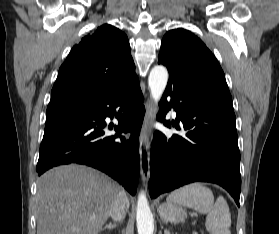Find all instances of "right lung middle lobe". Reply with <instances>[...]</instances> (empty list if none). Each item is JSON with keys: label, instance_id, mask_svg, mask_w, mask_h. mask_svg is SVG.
Returning <instances> with one entry per match:
<instances>
[{"label": "right lung middle lobe", "instance_id": "right-lung-middle-lobe-1", "mask_svg": "<svg viewBox=\"0 0 279 234\" xmlns=\"http://www.w3.org/2000/svg\"><path fill=\"white\" fill-rule=\"evenodd\" d=\"M75 108H77V107H51V108H47V116L62 113V112L69 111V110H72V109H75Z\"/></svg>", "mask_w": 279, "mask_h": 234}]
</instances>
